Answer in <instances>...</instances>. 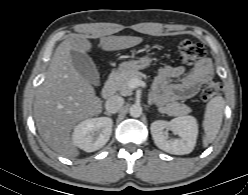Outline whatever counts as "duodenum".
I'll use <instances>...</instances> for the list:
<instances>
[{
    "label": "duodenum",
    "mask_w": 248,
    "mask_h": 195,
    "mask_svg": "<svg viewBox=\"0 0 248 195\" xmlns=\"http://www.w3.org/2000/svg\"><path fill=\"white\" fill-rule=\"evenodd\" d=\"M115 79H116V73L113 72L111 73L104 86H103V89H102V97L105 98V99H109L113 96L114 94V90H115Z\"/></svg>",
    "instance_id": "410a0bca"
}]
</instances>
